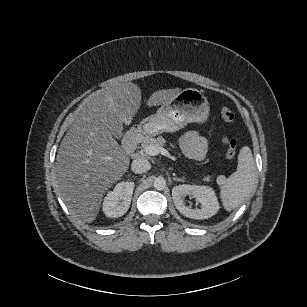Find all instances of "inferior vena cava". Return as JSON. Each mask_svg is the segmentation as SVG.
<instances>
[{
  "instance_id": "1",
  "label": "inferior vena cava",
  "mask_w": 307,
  "mask_h": 307,
  "mask_svg": "<svg viewBox=\"0 0 307 307\" xmlns=\"http://www.w3.org/2000/svg\"><path fill=\"white\" fill-rule=\"evenodd\" d=\"M150 168L151 164L149 161L143 158L133 160L131 165V169L135 174L145 173L150 170Z\"/></svg>"
}]
</instances>
